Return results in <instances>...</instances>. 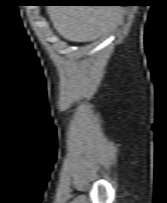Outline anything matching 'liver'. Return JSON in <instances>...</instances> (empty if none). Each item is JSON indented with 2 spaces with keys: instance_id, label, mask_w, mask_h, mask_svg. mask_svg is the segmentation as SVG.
Instances as JSON below:
<instances>
[{
  "instance_id": "6515ba94",
  "label": "liver",
  "mask_w": 167,
  "mask_h": 203,
  "mask_svg": "<svg viewBox=\"0 0 167 203\" xmlns=\"http://www.w3.org/2000/svg\"><path fill=\"white\" fill-rule=\"evenodd\" d=\"M48 14L63 38L87 42L115 27L121 18V9L117 6H51Z\"/></svg>"
}]
</instances>
